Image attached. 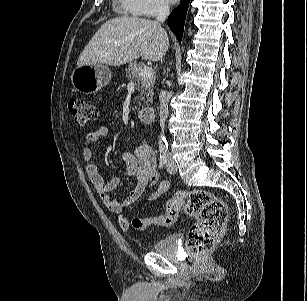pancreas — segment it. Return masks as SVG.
Listing matches in <instances>:
<instances>
[{
    "instance_id": "cf45deb5",
    "label": "pancreas",
    "mask_w": 307,
    "mask_h": 301,
    "mask_svg": "<svg viewBox=\"0 0 307 301\" xmlns=\"http://www.w3.org/2000/svg\"><path fill=\"white\" fill-rule=\"evenodd\" d=\"M144 67L145 64L143 62H130L129 66L125 69L127 80L134 81L136 89L140 91V97H136V100H140L139 106L141 104L148 105L152 102L153 97L154 77L145 78L139 75V71Z\"/></svg>"
}]
</instances>
